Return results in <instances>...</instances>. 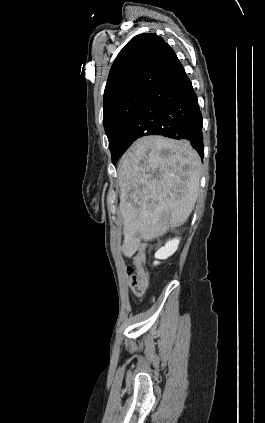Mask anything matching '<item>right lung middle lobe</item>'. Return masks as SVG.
I'll return each instance as SVG.
<instances>
[{"mask_svg":"<svg viewBox=\"0 0 265 423\" xmlns=\"http://www.w3.org/2000/svg\"><path fill=\"white\" fill-rule=\"evenodd\" d=\"M149 91L132 92L110 104L103 113V124L109 140L113 164L123 154L118 143L123 129L145 100Z\"/></svg>","mask_w":265,"mask_h":423,"instance_id":"obj_1","label":"right lung middle lobe"}]
</instances>
